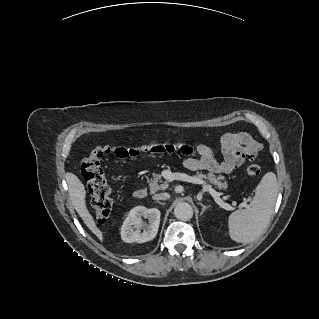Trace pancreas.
Returning <instances> with one entry per match:
<instances>
[{"instance_id": "cf45deb5", "label": "pancreas", "mask_w": 319, "mask_h": 319, "mask_svg": "<svg viewBox=\"0 0 319 319\" xmlns=\"http://www.w3.org/2000/svg\"><path fill=\"white\" fill-rule=\"evenodd\" d=\"M161 175L160 174H154L153 177L150 180V191L152 193L158 191V190H164L167 188L165 184H159L161 182ZM195 177L199 179H206L208 180L212 185H214L216 188L222 190L226 189L228 187V183L225 181V177L222 175H214L213 173H197Z\"/></svg>"}]
</instances>
